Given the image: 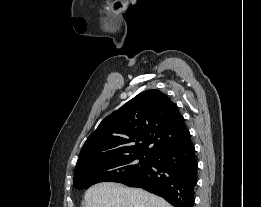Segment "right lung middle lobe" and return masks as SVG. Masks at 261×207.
Segmentation results:
<instances>
[{"label":"right lung middle lobe","mask_w":261,"mask_h":207,"mask_svg":"<svg viewBox=\"0 0 261 207\" xmlns=\"http://www.w3.org/2000/svg\"><path fill=\"white\" fill-rule=\"evenodd\" d=\"M151 157L139 154L118 156L86 164L75 169L74 186L87 189L105 181L119 182L145 169Z\"/></svg>","instance_id":"obj_1"}]
</instances>
